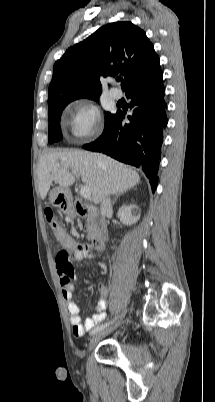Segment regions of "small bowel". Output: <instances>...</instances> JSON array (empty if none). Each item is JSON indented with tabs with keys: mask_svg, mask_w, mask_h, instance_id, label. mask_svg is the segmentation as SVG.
Wrapping results in <instances>:
<instances>
[{
	"mask_svg": "<svg viewBox=\"0 0 215 402\" xmlns=\"http://www.w3.org/2000/svg\"><path fill=\"white\" fill-rule=\"evenodd\" d=\"M65 235H67L65 233ZM89 246H79L74 243V248L72 250H58L54 255V262L56 268L58 270L59 282L61 287V292L64 300L67 303V311L70 317V323L72 326L73 334L77 337L83 336L86 332L90 330H94L97 324L101 323L106 318V296L108 294V288L105 284H99V299L96 304L97 313L92 317H88L84 323L81 321V317L79 315V306L73 299V292L75 290V286L72 283L71 279L74 277V266L73 263L82 262L86 256L87 250ZM64 252L72 253L73 256L69 259V261H63L61 259V255ZM67 264L72 266V270L70 272H65L63 267Z\"/></svg>",
	"mask_w": 215,
	"mask_h": 402,
	"instance_id": "c3829d8e",
	"label": "small bowel"
}]
</instances>
